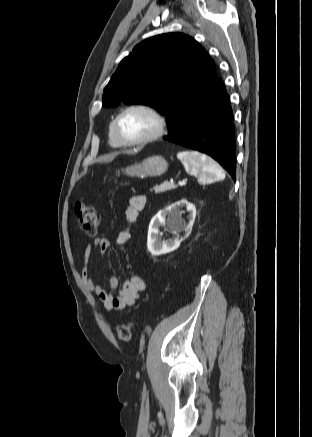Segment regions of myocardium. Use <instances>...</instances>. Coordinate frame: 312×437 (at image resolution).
I'll return each mask as SVG.
<instances>
[{
	"label": "myocardium",
	"mask_w": 312,
	"mask_h": 437,
	"mask_svg": "<svg viewBox=\"0 0 312 437\" xmlns=\"http://www.w3.org/2000/svg\"><path fill=\"white\" fill-rule=\"evenodd\" d=\"M133 110H142V111L149 113L155 119L156 128L150 135H148L144 138L137 139V140H128L125 138V136L123 135V133L120 130V122H121L122 117L126 113L133 111ZM165 129H166V121H165L163 115L157 109H155L154 107H152L148 104L138 103V104L129 105V106L123 108L118 113V115L116 116V118L114 120L115 133H116L118 139L120 140V142L125 146H138V145H144V144H148L150 142H153L163 135V133L165 132Z\"/></svg>",
	"instance_id": "1"
}]
</instances>
